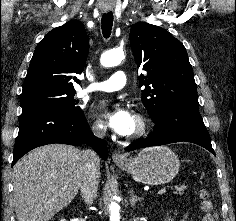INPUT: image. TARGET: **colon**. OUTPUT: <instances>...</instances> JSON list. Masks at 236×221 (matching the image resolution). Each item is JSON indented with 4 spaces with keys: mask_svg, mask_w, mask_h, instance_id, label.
<instances>
[{
    "mask_svg": "<svg viewBox=\"0 0 236 221\" xmlns=\"http://www.w3.org/2000/svg\"><path fill=\"white\" fill-rule=\"evenodd\" d=\"M201 207L204 211L203 221H216L217 216L213 208V204L208 198V194L205 190L200 191Z\"/></svg>",
    "mask_w": 236,
    "mask_h": 221,
    "instance_id": "1",
    "label": "colon"
}]
</instances>
